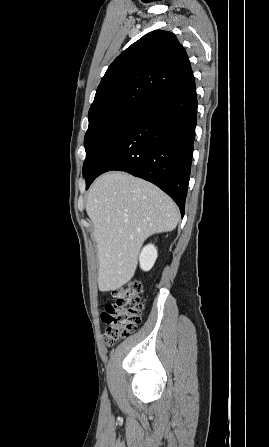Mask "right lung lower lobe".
Segmentation results:
<instances>
[{
    "instance_id": "1",
    "label": "right lung lower lobe",
    "mask_w": 269,
    "mask_h": 447,
    "mask_svg": "<svg viewBox=\"0 0 269 447\" xmlns=\"http://www.w3.org/2000/svg\"><path fill=\"white\" fill-rule=\"evenodd\" d=\"M192 70L144 103L93 162L86 189L100 174L118 170L161 188L184 215L197 122Z\"/></svg>"
}]
</instances>
